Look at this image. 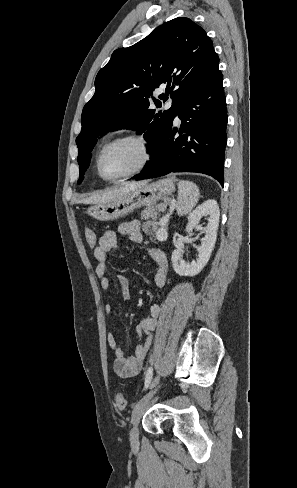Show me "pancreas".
<instances>
[{
  "mask_svg": "<svg viewBox=\"0 0 297 488\" xmlns=\"http://www.w3.org/2000/svg\"><path fill=\"white\" fill-rule=\"evenodd\" d=\"M149 218H151V221H147L144 226L146 228V226H152V230L153 232L156 233V230H157V218H158V212L156 211L155 209V206H148L147 208H145L142 212H141V219H145V220H148ZM161 225L163 227L167 226V223L166 224H162V220H161Z\"/></svg>",
  "mask_w": 297,
  "mask_h": 488,
  "instance_id": "1",
  "label": "pancreas"
}]
</instances>
